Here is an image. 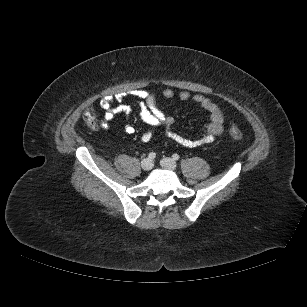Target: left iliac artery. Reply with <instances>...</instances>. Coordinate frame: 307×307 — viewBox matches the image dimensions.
Masks as SVG:
<instances>
[{"label": "left iliac artery", "mask_w": 307, "mask_h": 307, "mask_svg": "<svg viewBox=\"0 0 307 307\" xmlns=\"http://www.w3.org/2000/svg\"><path fill=\"white\" fill-rule=\"evenodd\" d=\"M172 157H173L174 160H179V158H180V156L178 154H173Z\"/></svg>", "instance_id": "44dca946"}]
</instances>
